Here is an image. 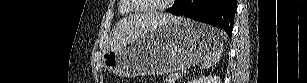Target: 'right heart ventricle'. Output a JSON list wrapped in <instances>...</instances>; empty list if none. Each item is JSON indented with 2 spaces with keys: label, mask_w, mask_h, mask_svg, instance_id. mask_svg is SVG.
<instances>
[{
  "label": "right heart ventricle",
  "mask_w": 307,
  "mask_h": 83,
  "mask_svg": "<svg viewBox=\"0 0 307 83\" xmlns=\"http://www.w3.org/2000/svg\"><path fill=\"white\" fill-rule=\"evenodd\" d=\"M121 11H122L123 13H130V12L133 11V10H132L131 7L128 5V7L123 6V7L121 8Z\"/></svg>",
  "instance_id": "1"
}]
</instances>
